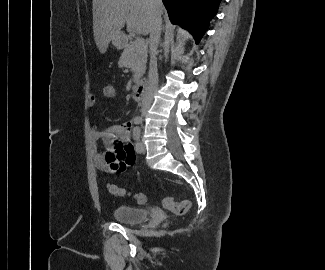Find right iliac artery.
<instances>
[{
  "label": "right iliac artery",
  "mask_w": 325,
  "mask_h": 270,
  "mask_svg": "<svg viewBox=\"0 0 325 270\" xmlns=\"http://www.w3.org/2000/svg\"><path fill=\"white\" fill-rule=\"evenodd\" d=\"M133 122H134V124H140L142 122V118L141 117H135Z\"/></svg>",
  "instance_id": "82829eb1"
}]
</instances>
